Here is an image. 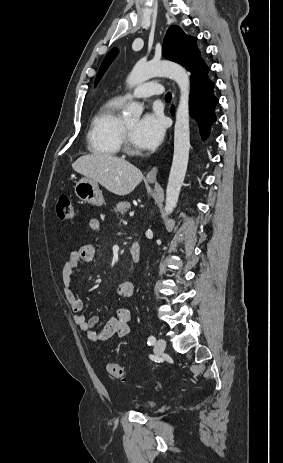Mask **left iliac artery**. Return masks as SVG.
Here are the masks:
<instances>
[{
    "instance_id": "obj_1",
    "label": "left iliac artery",
    "mask_w": 283,
    "mask_h": 463,
    "mask_svg": "<svg viewBox=\"0 0 283 463\" xmlns=\"http://www.w3.org/2000/svg\"><path fill=\"white\" fill-rule=\"evenodd\" d=\"M155 342H156V339H155L154 336H150V337L148 338V342H147L148 345H150V346H151V345H154Z\"/></svg>"
}]
</instances>
